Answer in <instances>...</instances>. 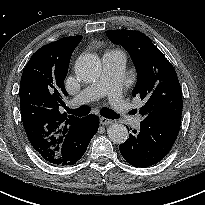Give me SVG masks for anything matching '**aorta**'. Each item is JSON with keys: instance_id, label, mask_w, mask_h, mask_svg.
<instances>
[{"instance_id": "1", "label": "aorta", "mask_w": 205, "mask_h": 205, "mask_svg": "<svg viewBox=\"0 0 205 205\" xmlns=\"http://www.w3.org/2000/svg\"><path fill=\"white\" fill-rule=\"evenodd\" d=\"M101 72V61L94 54H84L75 63L76 76L85 83L95 82L100 77ZM107 134L109 139L116 144H122L128 138L127 128L119 123L110 125Z\"/></svg>"}]
</instances>
